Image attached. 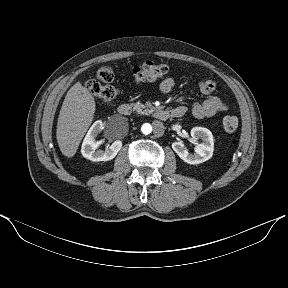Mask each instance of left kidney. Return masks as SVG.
<instances>
[{
    "label": "left kidney",
    "instance_id": "5707ae66",
    "mask_svg": "<svg viewBox=\"0 0 288 288\" xmlns=\"http://www.w3.org/2000/svg\"><path fill=\"white\" fill-rule=\"evenodd\" d=\"M193 139H200L202 142L195 146V153L188 152L183 141L172 143L173 150L188 164H200L209 160L214 151V139L210 130L203 127H194L191 130Z\"/></svg>",
    "mask_w": 288,
    "mask_h": 288
}]
</instances>
